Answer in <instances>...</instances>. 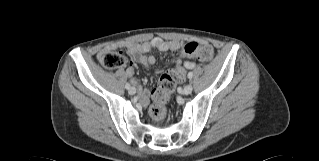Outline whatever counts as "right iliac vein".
I'll use <instances>...</instances> for the list:
<instances>
[{
    "instance_id": "63e3f726",
    "label": "right iliac vein",
    "mask_w": 319,
    "mask_h": 161,
    "mask_svg": "<svg viewBox=\"0 0 319 161\" xmlns=\"http://www.w3.org/2000/svg\"><path fill=\"white\" fill-rule=\"evenodd\" d=\"M128 91L131 95H134L136 93V89L134 87H130Z\"/></svg>"
}]
</instances>
